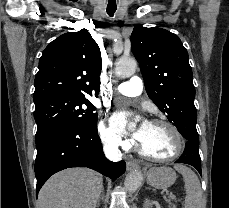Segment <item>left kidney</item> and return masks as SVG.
Wrapping results in <instances>:
<instances>
[{
    "label": "left kidney",
    "instance_id": "left-kidney-1",
    "mask_svg": "<svg viewBox=\"0 0 229 208\" xmlns=\"http://www.w3.org/2000/svg\"><path fill=\"white\" fill-rule=\"evenodd\" d=\"M150 206H151V204H150L149 200H146V202H145V208H150Z\"/></svg>",
    "mask_w": 229,
    "mask_h": 208
}]
</instances>
